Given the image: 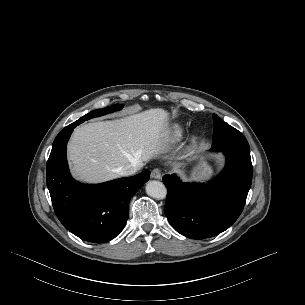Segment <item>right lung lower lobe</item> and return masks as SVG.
I'll list each match as a JSON object with an SVG mask.
<instances>
[{
  "label": "right lung lower lobe",
  "instance_id": "1",
  "mask_svg": "<svg viewBox=\"0 0 305 305\" xmlns=\"http://www.w3.org/2000/svg\"><path fill=\"white\" fill-rule=\"evenodd\" d=\"M80 120L66 126L55 138L46 167V182L54 211L79 238L104 243L118 236L129 215V201L150 178L146 170L132 177L96 185L76 182L70 175L67 141Z\"/></svg>",
  "mask_w": 305,
  "mask_h": 305
}]
</instances>
